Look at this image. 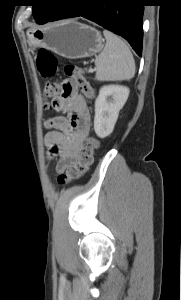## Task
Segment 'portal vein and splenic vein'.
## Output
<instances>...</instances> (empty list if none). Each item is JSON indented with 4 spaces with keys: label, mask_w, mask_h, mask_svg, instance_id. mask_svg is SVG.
I'll list each match as a JSON object with an SVG mask.
<instances>
[{
    "label": "portal vein and splenic vein",
    "mask_w": 181,
    "mask_h": 300,
    "mask_svg": "<svg viewBox=\"0 0 181 300\" xmlns=\"http://www.w3.org/2000/svg\"><path fill=\"white\" fill-rule=\"evenodd\" d=\"M95 69H89V73H93Z\"/></svg>",
    "instance_id": "1"
}]
</instances>
